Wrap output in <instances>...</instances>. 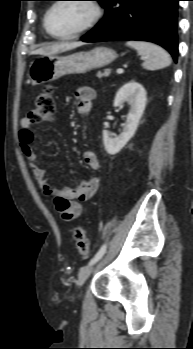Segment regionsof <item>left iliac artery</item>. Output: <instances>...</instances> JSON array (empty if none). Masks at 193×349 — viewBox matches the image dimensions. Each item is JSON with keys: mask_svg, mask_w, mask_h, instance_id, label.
<instances>
[{"mask_svg": "<svg viewBox=\"0 0 193 349\" xmlns=\"http://www.w3.org/2000/svg\"><path fill=\"white\" fill-rule=\"evenodd\" d=\"M106 248L107 245L104 244L102 245V247L99 249V251L95 254V256L91 259V261L89 262V264H93L95 262H97L100 258H102V256L105 254L106 252Z\"/></svg>", "mask_w": 193, "mask_h": 349, "instance_id": "1", "label": "left iliac artery"}]
</instances>
